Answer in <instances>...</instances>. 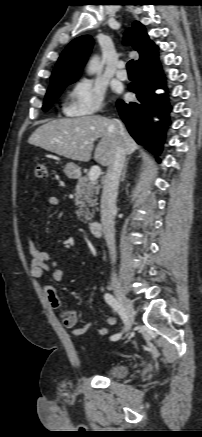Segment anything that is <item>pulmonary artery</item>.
I'll use <instances>...</instances> for the list:
<instances>
[{
	"mask_svg": "<svg viewBox=\"0 0 202 437\" xmlns=\"http://www.w3.org/2000/svg\"><path fill=\"white\" fill-rule=\"evenodd\" d=\"M125 64L124 62H119L117 65V71H116V77L120 80H126L127 79V72L124 69Z\"/></svg>",
	"mask_w": 202,
	"mask_h": 437,
	"instance_id": "e3ab8cb5",
	"label": "pulmonary artery"
}]
</instances>
